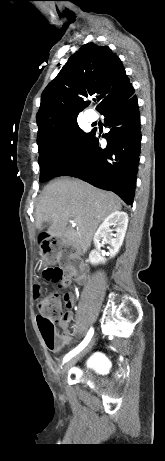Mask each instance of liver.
I'll use <instances>...</instances> for the list:
<instances>
[{
	"label": "liver",
	"instance_id": "1",
	"mask_svg": "<svg viewBox=\"0 0 165 461\" xmlns=\"http://www.w3.org/2000/svg\"><path fill=\"white\" fill-rule=\"evenodd\" d=\"M122 208L119 198L80 180L61 178L43 190L35 212V225L41 229L50 222L47 234L64 237L74 247L86 251L98 225ZM73 220L76 229L68 226Z\"/></svg>",
	"mask_w": 165,
	"mask_h": 461
}]
</instances>
